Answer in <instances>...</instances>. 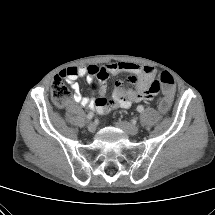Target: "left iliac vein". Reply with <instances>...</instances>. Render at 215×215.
I'll return each instance as SVG.
<instances>
[{
	"label": "left iliac vein",
	"instance_id": "left-iliac-vein-1",
	"mask_svg": "<svg viewBox=\"0 0 215 215\" xmlns=\"http://www.w3.org/2000/svg\"><path fill=\"white\" fill-rule=\"evenodd\" d=\"M116 126L122 129L128 135H136L139 132V127L132 125L127 121H118Z\"/></svg>",
	"mask_w": 215,
	"mask_h": 215
}]
</instances>
